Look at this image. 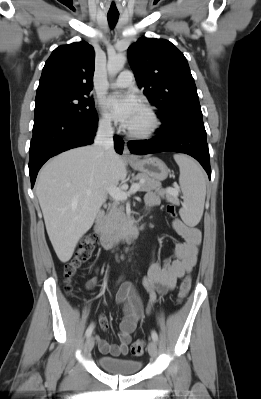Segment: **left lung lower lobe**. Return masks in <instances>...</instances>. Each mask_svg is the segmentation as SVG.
I'll return each instance as SVG.
<instances>
[{
  "label": "left lung lower lobe",
  "instance_id": "left-lung-lower-lobe-1",
  "mask_svg": "<svg viewBox=\"0 0 261 399\" xmlns=\"http://www.w3.org/2000/svg\"><path fill=\"white\" fill-rule=\"evenodd\" d=\"M157 136L149 140L128 142L133 154L179 152L194 157L211 178L209 150L202 116H193L180 121L168 130L157 129Z\"/></svg>",
  "mask_w": 261,
  "mask_h": 399
}]
</instances>
